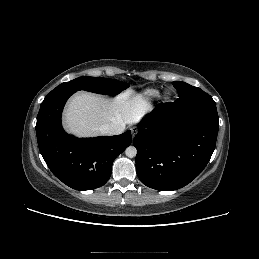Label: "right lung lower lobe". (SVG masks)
<instances>
[{"label": "right lung lower lobe", "mask_w": 259, "mask_h": 259, "mask_svg": "<svg viewBox=\"0 0 259 259\" xmlns=\"http://www.w3.org/2000/svg\"><path fill=\"white\" fill-rule=\"evenodd\" d=\"M71 91L45 97L37 116L40 153L52 173L76 190L103 186L111 176L114 159L132 142L131 131L117 136L76 138L61 125V114Z\"/></svg>", "instance_id": "right-lung-lower-lobe-1"}]
</instances>
